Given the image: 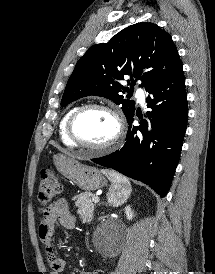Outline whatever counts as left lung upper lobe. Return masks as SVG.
<instances>
[{"label":"left lung upper lobe","mask_w":215,"mask_h":274,"mask_svg":"<svg viewBox=\"0 0 215 274\" xmlns=\"http://www.w3.org/2000/svg\"><path fill=\"white\" fill-rule=\"evenodd\" d=\"M181 66L170 34L154 23L140 22L123 29L109 42L88 49L67 82L61 106L85 96H101L121 104L128 118L135 111V102L124 99L121 93L132 90L137 80L147 89ZM126 75L131 78L130 89L119 83Z\"/></svg>","instance_id":"5c2ea615"}]
</instances>
